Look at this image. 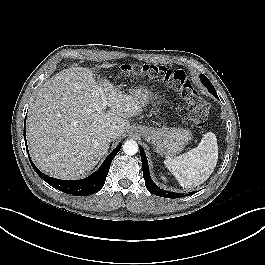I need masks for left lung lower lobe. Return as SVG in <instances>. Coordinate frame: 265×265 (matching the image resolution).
Segmentation results:
<instances>
[{
  "mask_svg": "<svg viewBox=\"0 0 265 265\" xmlns=\"http://www.w3.org/2000/svg\"><path fill=\"white\" fill-rule=\"evenodd\" d=\"M200 78H201L202 83L208 88L209 92L212 95H214L216 98H218V95H217L213 85L211 84V82L203 74L200 75ZM140 156H141V160H142L143 177L145 180V185H146V188L148 189V191L150 193L157 195V196H161V197H165V198H172V199L180 197V196L185 197V194H178V193H174V192H169V191L160 189L157 185H155V183L152 181V179L150 177L147 158H146V155H145L144 150L142 148H140ZM194 193L192 192V193H189L188 195H192Z\"/></svg>",
  "mask_w": 265,
  "mask_h": 265,
  "instance_id": "obj_1",
  "label": "left lung lower lobe"
}]
</instances>
